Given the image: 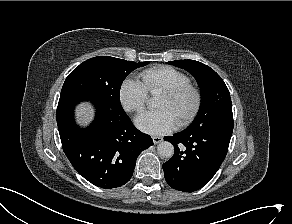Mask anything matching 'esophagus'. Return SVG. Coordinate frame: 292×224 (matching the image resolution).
Here are the masks:
<instances>
[{"mask_svg":"<svg viewBox=\"0 0 292 224\" xmlns=\"http://www.w3.org/2000/svg\"><path fill=\"white\" fill-rule=\"evenodd\" d=\"M152 139H153L154 144H158L163 141V138L159 136H153Z\"/></svg>","mask_w":292,"mask_h":224,"instance_id":"1","label":"esophagus"}]
</instances>
